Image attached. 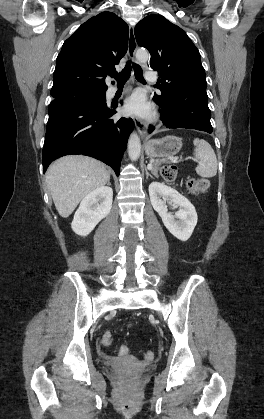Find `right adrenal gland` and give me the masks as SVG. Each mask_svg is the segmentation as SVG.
Listing matches in <instances>:
<instances>
[{"label": "right adrenal gland", "instance_id": "obj_1", "mask_svg": "<svg viewBox=\"0 0 264 419\" xmlns=\"http://www.w3.org/2000/svg\"><path fill=\"white\" fill-rule=\"evenodd\" d=\"M108 185H111L110 180L108 181Z\"/></svg>", "mask_w": 264, "mask_h": 419}]
</instances>
